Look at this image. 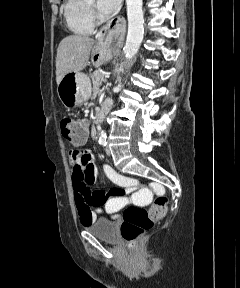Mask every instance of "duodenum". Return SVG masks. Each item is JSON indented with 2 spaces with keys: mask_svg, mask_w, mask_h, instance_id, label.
<instances>
[{
  "mask_svg": "<svg viewBox=\"0 0 240 288\" xmlns=\"http://www.w3.org/2000/svg\"><path fill=\"white\" fill-rule=\"evenodd\" d=\"M112 106V101L107 99L104 101L102 106L96 111L95 114V121L99 122L104 119V117L107 115L108 111L110 110Z\"/></svg>",
  "mask_w": 240,
  "mask_h": 288,
  "instance_id": "410a0bca",
  "label": "duodenum"
}]
</instances>
